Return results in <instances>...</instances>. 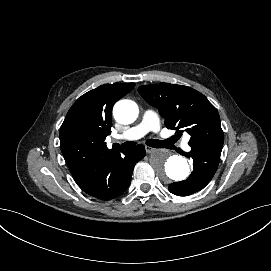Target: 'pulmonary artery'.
I'll use <instances>...</instances> for the list:
<instances>
[{
	"mask_svg": "<svg viewBox=\"0 0 271 271\" xmlns=\"http://www.w3.org/2000/svg\"><path fill=\"white\" fill-rule=\"evenodd\" d=\"M161 123V117L157 113L152 110H147L144 112L143 119L139 121L137 127L131 128L127 132L117 135L115 139L119 141H129L137 139L142 135H150L154 130H157L161 126ZM179 147L190 154H193L196 151V148L186 140H181L179 142Z\"/></svg>",
	"mask_w": 271,
	"mask_h": 271,
	"instance_id": "pulmonary-artery-1",
	"label": "pulmonary artery"
}]
</instances>
